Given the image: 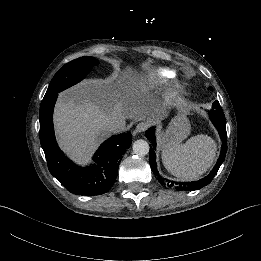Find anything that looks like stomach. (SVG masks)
<instances>
[{
	"instance_id": "obj_1",
	"label": "stomach",
	"mask_w": 261,
	"mask_h": 261,
	"mask_svg": "<svg viewBox=\"0 0 261 261\" xmlns=\"http://www.w3.org/2000/svg\"><path fill=\"white\" fill-rule=\"evenodd\" d=\"M172 102L183 109L171 120L166 130L160 135L159 149L163 152L175 148L190 134L191 130L190 121L186 115L187 109H185L189 104L188 101L181 95H175Z\"/></svg>"
}]
</instances>
